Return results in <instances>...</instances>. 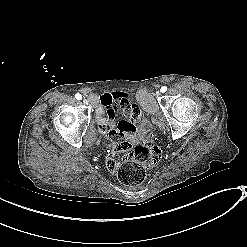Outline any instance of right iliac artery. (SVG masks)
<instances>
[{
  "instance_id": "obj_1",
  "label": "right iliac artery",
  "mask_w": 247,
  "mask_h": 247,
  "mask_svg": "<svg viewBox=\"0 0 247 247\" xmlns=\"http://www.w3.org/2000/svg\"><path fill=\"white\" fill-rule=\"evenodd\" d=\"M75 98L78 99V100H81V99H82V96H81V94L77 93V94L75 95Z\"/></svg>"
}]
</instances>
